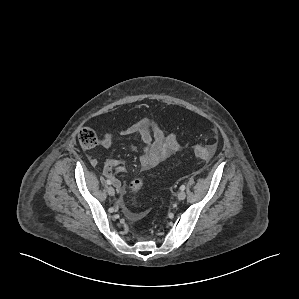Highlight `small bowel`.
<instances>
[{"label": "small bowel", "instance_id": "c3829d8e", "mask_svg": "<svg viewBox=\"0 0 299 299\" xmlns=\"http://www.w3.org/2000/svg\"><path fill=\"white\" fill-rule=\"evenodd\" d=\"M119 135H135L141 138L144 148L140 156V165L144 170L156 167L179 149V143L176 137L173 134L165 135L159 126L148 118H143L139 122L120 130ZM115 141V134L107 132L102 136L100 145L108 149ZM97 162V158L91 160L93 165H96ZM125 170V167L118 160L107 159L104 162V174L113 181L114 185L119 188L120 191H123V187L121 181L114 176V173H123ZM136 217L137 215H133V218Z\"/></svg>", "mask_w": 299, "mask_h": 299}]
</instances>
